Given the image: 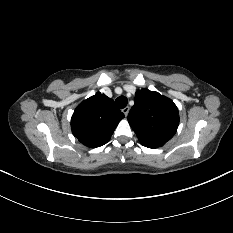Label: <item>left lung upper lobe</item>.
Wrapping results in <instances>:
<instances>
[{
	"mask_svg": "<svg viewBox=\"0 0 233 233\" xmlns=\"http://www.w3.org/2000/svg\"><path fill=\"white\" fill-rule=\"evenodd\" d=\"M128 122L143 146H163L177 131L178 109L174 102L148 89L138 90Z\"/></svg>",
	"mask_w": 233,
	"mask_h": 233,
	"instance_id": "left-lung-upper-lobe-1",
	"label": "left lung upper lobe"
}]
</instances>
